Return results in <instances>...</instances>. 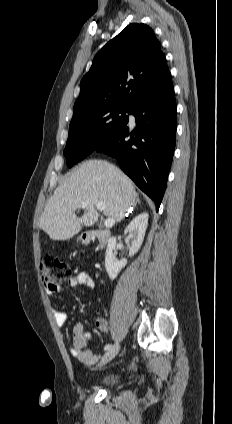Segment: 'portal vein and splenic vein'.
<instances>
[{"label": "portal vein and splenic vein", "mask_w": 232, "mask_h": 424, "mask_svg": "<svg viewBox=\"0 0 232 424\" xmlns=\"http://www.w3.org/2000/svg\"><path fill=\"white\" fill-rule=\"evenodd\" d=\"M86 207H87L86 203L81 204V208L85 209ZM105 207H106L105 203H103V202L96 203V208L100 211H103L105 209ZM114 223H115L114 219H112V218H108L104 221L105 227H112L114 225Z\"/></svg>", "instance_id": "18ae733b"}]
</instances>
